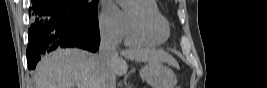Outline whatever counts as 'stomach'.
Wrapping results in <instances>:
<instances>
[{
	"label": "stomach",
	"mask_w": 267,
	"mask_h": 88,
	"mask_svg": "<svg viewBox=\"0 0 267 88\" xmlns=\"http://www.w3.org/2000/svg\"><path fill=\"white\" fill-rule=\"evenodd\" d=\"M140 76L152 88H174L176 83L173 71L161 63L147 62L141 68Z\"/></svg>",
	"instance_id": "0dacf381"
}]
</instances>
